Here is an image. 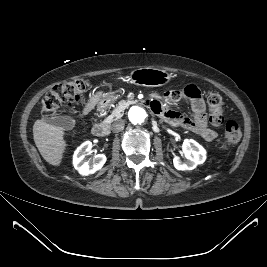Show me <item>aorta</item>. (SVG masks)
<instances>
[{"instance_id":"1","label":"aorta","mask_w":267,"mask_h":267,"mask_svg":"<svg viewBox=\"0 0 267 267\" xmlns=\"http://www.w3.org/2000/svg\"><path fill=\"white\" fill-rule=\"evenodd\" d=\"M147 116L145 109L139 106H133L128 113V118L134 125H139L145 122Z\"/></svg>"}]
</instances>
